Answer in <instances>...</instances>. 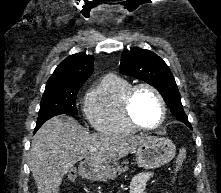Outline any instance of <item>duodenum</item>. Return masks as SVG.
<instances>
[{
	"label": "duodenum",
	"mask_w": 221,
	"mask_h": 193,
	"mask_svg": "<svg viewBox=\"0 0 221 193\" xmlns=\"http://www.w3.org/2000/svg\"><path fill=\"white\" fill-rule=\"evenodd\" d=\"M82 168L85 169V170H87V169H89V165L84 164V165L82 166Z\"/></svg>",
	"instance_id": "obj_1"
}]
</instances>
